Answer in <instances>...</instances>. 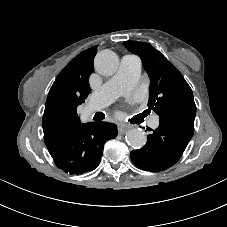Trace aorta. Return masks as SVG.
<instances>
[{
  "label": "aorta",
  "instance_id": "obj_1",
  "mask_svg": "<svg viewBox=\"0 0 227 227\" xmlns=\"http://www.w3.org/2000/svg\"><path fill=\"white\" fill-rule=\"evenodd\" d=\"M118 56L110 50L100 51L94 61L96 71L104 76L113 75L118 68ZM147 137L140 128H134L126 133V142L134 149H139L146 144Z\"/></svg>",
  "mask_w": 227,
  "mask_h": 227
}]
</instances>
